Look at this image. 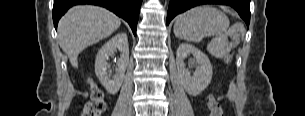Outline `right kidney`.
I'll return each instance as SVG.
<instances>
[{"label":"right kidney","mask_w":305,"mask_h":116,"mask_svg":"<svg viewBox=\"0 0 305 116\" xmlns=\"http://www.w3.org/2000/svg\"><path fill=\"white\" fill-rule=\"evenodd\" d=\"M116 49H119L121 55L117 62L116 74L111 79L107 74V69L109 68L107 61L110 56L114 55ZM128 63V38L126 33H118L101 47L95 60L96 76L109 93L115 94L120 89Z\"/></svg>","instance_id":"obj_1"}]
</instances>
